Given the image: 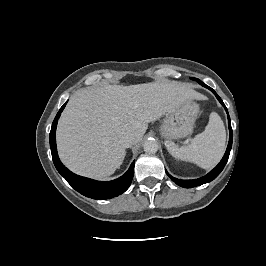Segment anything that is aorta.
<instances>
[{
  "instance_id": "obj_1",
  "label": "aorta",
  "mask_w": 266,
  "mask_h": 266,
  "mask_svg": "<svg viewBox=\"0 0 266 266\" xmlns=\"http://www.w3.org/2000/svg\"><path fill=\"white\" fill-rule=\"evenodd\" d=\"M143 149L149 154L156 153L158 151V143L154 139H148L144 142Z\"/></svg>"
}]
</instances>
